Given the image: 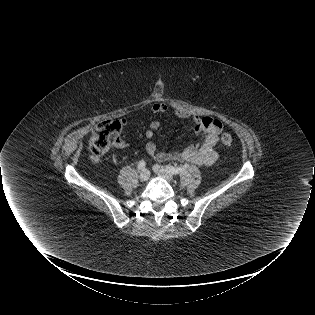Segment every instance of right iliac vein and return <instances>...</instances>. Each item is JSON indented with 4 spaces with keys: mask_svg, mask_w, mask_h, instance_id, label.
I'll use <instances>...</instances> for the list:
<instances>
[{
    "mask_svg": "<svg viewBox=\"0 0 315 315\" xmlns=\"http://www.w3.org/2000/svg\"><path fill=\"white\" fill-rule=\"evenodd\" d=\"M150 177V172L147 169H143L140 172L139 179L141 181H147Z\"/></svg>",
    "mask_w": 315,
    "mask_h": 315,
    "instance_id": "obj_1",
    "label": "right iliac vein"
}]
</instances>
